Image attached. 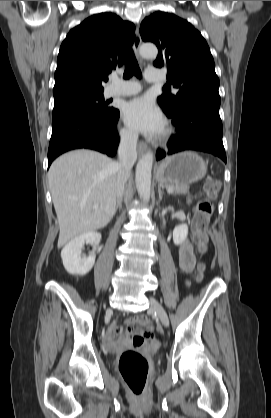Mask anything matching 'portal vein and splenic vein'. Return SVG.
Returning <instances> with one entry per match:
<instances>
[{
	"mask_svg": "<svg viewBox=\"0 0 271 418\" xmlns=\"http://www.w3.org/2000/svg\"><path fill=\"white\" fill-rule=\"evenodd\" d=\"M167 192H168V193H173V189H172V188H168V189H167ZM94 207H98V206H97V205H95Z\"/></svg>",
	"mask_w": 271,
	"mask_h": 418,
	"instance_id": "1",
	"label": "portal vein and splenic vein"
}]
</instances>
